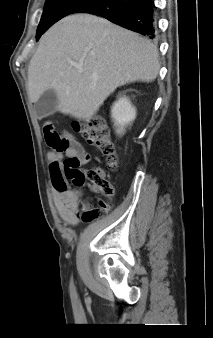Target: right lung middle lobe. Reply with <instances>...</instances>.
I'll return each instance as SVG.
<instances>
[{"instance_id": "dd1d6c3e", "label": "right lung middle lobe", "mask_w": 213, "mask_h": 338, "mask_svg": "<svg viewBox=\"0 0 213 338\" xmlns=\"http://www.w3.org/2000/svg\"><path fill=\"white\" fill-rule=\"evenodd\" d=\"M92 0H46L43 14L37 29V40L54 23L74 13L79 7Z\"/></svg>"}]
</instances>
